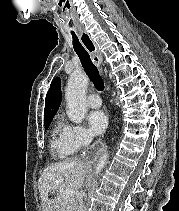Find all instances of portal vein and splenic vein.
Instances as JSON below:
<instances>
[{"label":"portal vein and splenic vein","mask_w":179,"mask_h":211,"mask_svg":"<svg viewBox=\"0 0 179 211\" xmlns=\"http://www.w3.org/2000/svg\"><path fill=\"white\" fill-rule=\"evenodd\" d=\"M64 182L63 179L57 180L54 182L53 187L56 188L58 185ZM75 196V190L71 188H67L63 191L62 197L65 199L73 198Z\"/></svg>","instance_id":"1"}]
</instances>
